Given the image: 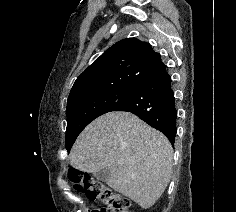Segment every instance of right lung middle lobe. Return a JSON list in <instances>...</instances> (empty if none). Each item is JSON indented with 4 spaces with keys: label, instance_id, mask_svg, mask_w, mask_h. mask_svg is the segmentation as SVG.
Wrapping results in <instances>:
<instances>
[{
    "label": "right lung middle lobe",
    "instance_id": "dd1d6c3e",
    "mask_svg": "<svg viewBox=\"0 0 236 212\" xmlns=\"http://www.w3.org/2000/svg\"><path fill=\"white\" fill-rule=\"evenodd\" d=\"M134 87L119 88L83 97L67 103L66 149L70 151L80 132L95 118L114 111L127 100Z\"/></svg>",
    "mask_w": 236,
    "mask_h": 212
}]
</instances>
